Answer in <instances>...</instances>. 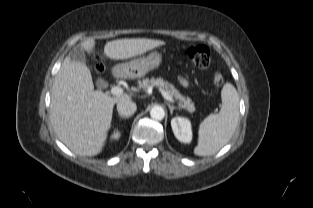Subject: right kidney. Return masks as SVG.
<instances>
[{
	"mask_svg": "<svg viewBox=\"0 0 313 208\" xmlns=\"http://www.w3.org/2000/svg\"><path fill=\"white\" fill-rule=\"evenodd\" d=\"M119 137H120V132L116 131L113 133L111 138L117 140V139H119Z\"/></svg>",
	"mask_w": 313,
	"mask_h": 208,
	"instance_id": "right-kidney-1",
	"label": "right kidney"
}]
</instances>
